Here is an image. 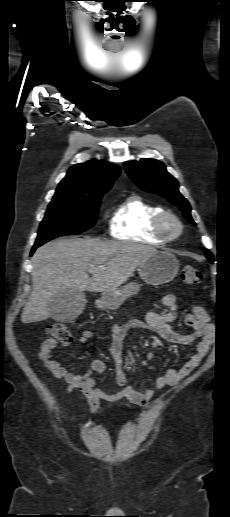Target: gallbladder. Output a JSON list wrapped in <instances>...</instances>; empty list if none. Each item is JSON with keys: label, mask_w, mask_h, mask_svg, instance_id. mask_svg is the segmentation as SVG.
Returning <instances> with one entry per match:
<instances>
[{"label": "gallbladder", "mask_w": 230, "mask_h": 517, "mask_svg": "<svg viewBox=\"0 0 230 517\" xmlns=\"http://www.w3.org/2000/svg\"><path fill=\"white\" fill-rule=\"evenodd\" d=\"M86 305L84 293L66 289L56 293L50 303L51 318L56 321H69L79 316Z\"/></svg>", "instance_id": "1"}]
</instances>
